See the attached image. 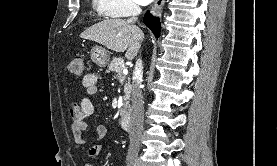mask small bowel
<instances>
[{"label": "small bowel", "instance_id": "c3829d8e", "mask_svg": "<svg viewBox=\"0 0 277 166\" xmlns=\"http://www.w3.org/2000/svg\"><path fill=\"white\" fill-rule=\"evenodd\" d=\"M98 77L95 73H88L82 79L84 88L83 97L72 103L69 116L71 119V131L78 151L86 153L89 158H96L101 150L100 141L106 136L107 128L103 125L96 127L94 131L93 145L86 150L88 140L84 136L87 124L84 118L89 117L94 112V106L90 96L97 92ZM84 166H94V163L88 161Z\"/></svg>", "mask_w": 277, "mask_h": 166}]
</instances>
